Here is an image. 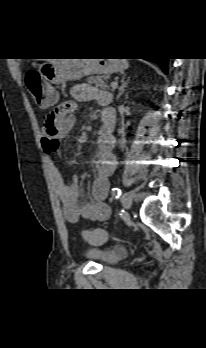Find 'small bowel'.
<instances>
[{"label": "small bowel", "instance_id": "c3829d8e", "mask_svg": "<svg viewBox=\"0 0 206 348\" xmlns=\"http://www.w3.org/2000/svg\"><path fill=\"white\" fill-rule=\"evenodd\" d=\"M72 100L60 104L46 118L41 147L46 156V164L53 187L62 204L65 219L72 224L80 221H103L110 217L111 209L106 203L110 177L116 168L112 151L102 147L93 161L95 176L91 188V201H79V178L74 176L67 182L52 159L60 146L61 139L74 127L73 113L78 102L97 101L103 107L112 106V95L89 84L80 83L71 88Z\"/></svg>", "mask_w": 206, "mask_h": 348}]
</instances>
